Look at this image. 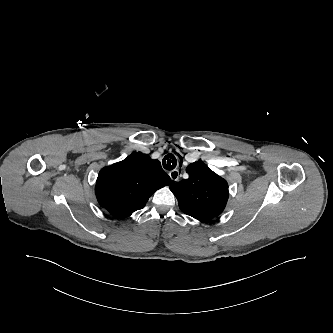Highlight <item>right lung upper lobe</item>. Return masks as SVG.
Instances as JSON below:
<instances>
[{
    "mask_svg": "<svg viewBox=\"0 0 333 333\" xmlns=\"http://www.w3.org/2000/svg\"><path fill=\"white\" fill-rule=\"evenodd\" d=\"M170 183L158 160L134 152L123 161L101 169L95 193L101 207L122 219L142 209L156 190Z\"/></svg>",
    "mask_w": 333,
    "mask_h": 333,
    "instance_id": "cb5924a9",
    "label": "right lung upper lobe"
}]
</instances>
